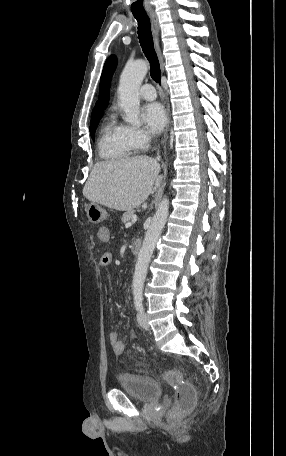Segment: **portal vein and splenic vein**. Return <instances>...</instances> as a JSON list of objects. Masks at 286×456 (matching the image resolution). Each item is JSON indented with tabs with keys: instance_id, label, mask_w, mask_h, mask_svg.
<instances>
[{
	"instance_id": "1",
	"label": "portal vein and splenic vein",
	"mask_w": 286,
	"mask_h": 456,
	"mask_svg": "<svg viewBox=\"0 0 286 456\" xmlns=\"http://www.w3.org/2000/svg\"><path fill=\"white\" fill-rule=\"evenodd\" d=\"M136 221H137V215H133L130 223H134Z\"/></svg>"
}]
</instances>
